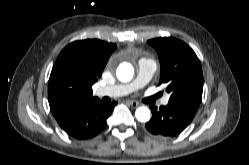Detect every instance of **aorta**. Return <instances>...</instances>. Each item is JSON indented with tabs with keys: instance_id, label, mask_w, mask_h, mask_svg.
I'll return each mask as SVG.
<instances>
[{
	"instance_id": "obj_1",
	"label": "aorta",
	"mask_w": 249,
	"mask_h": 165,
	"mask_svg": "<svg viewBox=\"0 0 249 165\" xmlns=\"http://www.w3.org/2000/svg\"><path fill=\"white\" fill-rule=\"evenodd\" d=\"M117 78L122 82L130 81L134 76V68L128 63L119 65L116 70ZM151 112L147 107H139L135 111V117L140 122H148L151 118Z\"/></svg>"
}]
</instances>
